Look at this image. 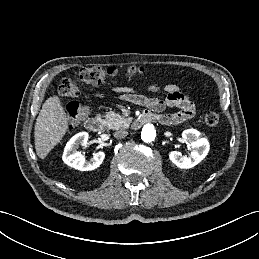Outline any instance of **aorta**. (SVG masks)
<instances>
[{
    "label": "aorta",
    "mask_w": 259,
    "mask_h": 259,
    "mask_svg": "<svg viewBox=\"0 0 259 259\" xmlns=\"http://www.w3.org/2000/svg\"><path fill=\"white\" fill-rule=\"evenodd\" d=\"M156 130L152 124H146L142 128L141 138L144 142L150 143L155 140Z\"/></svg>",
    "instance_id": "aorta-1"
}]
</instances>
